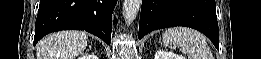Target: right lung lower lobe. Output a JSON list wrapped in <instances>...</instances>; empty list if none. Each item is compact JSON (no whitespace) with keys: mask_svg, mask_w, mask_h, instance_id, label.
<instances>
[{"mask_svg":"<svg viewBox=\"0 0 261 59\" xmlns=\"http://www.w3.org/2000/svg\"><path fill=\"white\" fill-rule=\"evenodd\" d=\"M117 0H40L34 45L61 30H86L110 45L111 17Z\"/></svg>","mask_w":261,"mask_h":59,"instance_id":"obj_1","label":"right lung lower lobe"}]
</instances>
